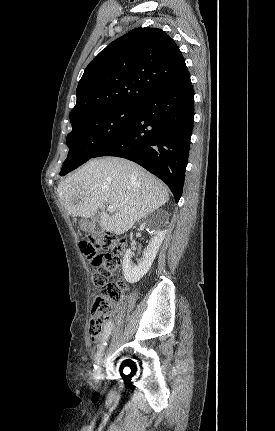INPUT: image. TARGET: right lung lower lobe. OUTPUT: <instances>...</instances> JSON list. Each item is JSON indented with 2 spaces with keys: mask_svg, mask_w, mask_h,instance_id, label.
I'll list each match as a JSON object with an SVG mask.
<instances>
[{
  "mask_svg": "<svg viewBox=\"0 0 275 431\" xmlns=\"http://www.w3.org/2000/svg\"><path fill=\"white\" fill-rule=\"evenodd\" d=\"M193 123L194 91L187 71L173 85L140 103L132 123L94 157L117 156L138 163L163 180L178 202Z\"/></svg>",
  "mask_w": 275,
  "mask_h": 431,
  "instance_id": "1",
  "label": "right lung lower lobe"
}]
</instances>
